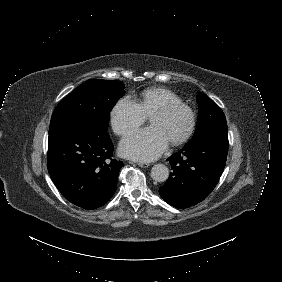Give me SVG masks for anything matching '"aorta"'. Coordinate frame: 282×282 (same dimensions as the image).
Here are the masks:
<instances>
[{"label":"aorta","instance_id":"1","mask_svg":"<svg viewBox=\"0 0 282 282\" xmlns=\"http://www.w3.org/2000/svg\"><path fill=\"white\" fill-rule=\"evenodd\" d=\"M168 176L169 170L164 164H155L151 169V177L157 182L167 180Z\"/></svg>","mask_w":282,"mask_h":282}]
</instances>
